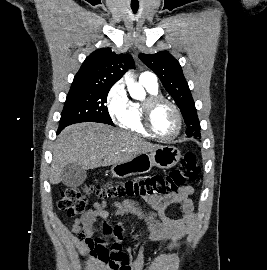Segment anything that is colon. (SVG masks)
<instances>
[{
  "instance_id": "colon-1",
  "label": "colon",
  "mask_w": 267,
  "mask_h": 270,
  "mask_svg": "<svg viewBox=\"0 0 267 270\" xmlns=\"http://www.w3.org/2000/svg\"><path fill=\"white\" fill-rule=\"evenodd\" d=\"M199 172L197 156L194 153H186L179 165L165 177L153 176L146 179L105 185L87 184L80 187H68L62 192L59 208L67 215L75 216L85 211L88 198L91 195L107 199L125 196L150 197L178 192L188 187L191 182L196 181ZM79 240L93 258H98L104 262L109 260L102 238L94 237L92 234L80 233ZM109 266L111 270H127V257L119 255L117 258H110Z\"/></svg>"
}]
</instances>
